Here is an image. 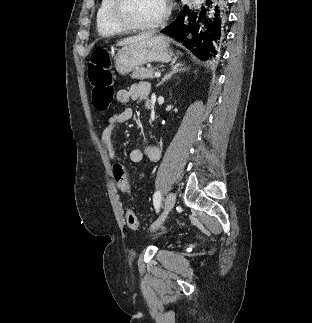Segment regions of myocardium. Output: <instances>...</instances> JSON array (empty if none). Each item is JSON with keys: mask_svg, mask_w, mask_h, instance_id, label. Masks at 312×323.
<instances>
[{"mask_svg": "<svg viewBox=\"0 0 312 323\" xmlns=\"http://www.w3.org/2000/svg\"><path fill=\"white\" fill-rule=\"evenodd\" d=\"M123 2L124 0H110L111 8L108 15L113 17L117 25H123L125 31H149L150 27L163 25L164 21H169L170 13L173 11L171 0H162L163 8L159 18H153V20H126L127 14L121 11L125 8Z\"/></svg>", "mask_w": 312, "mask_h": 323, "instance_id": "myocardium-1", "label": "myocardium"}]
</instances>
